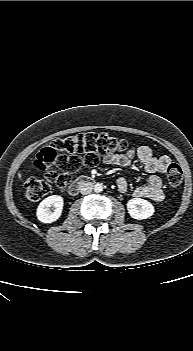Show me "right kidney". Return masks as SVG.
Instances as JSON below:
<instances>
[{"instance_id":"ca27d5eb","label":"right kidney","mask_w":193,"mask_h":351,"mask_svg":"<svg viewBox=\"0 0 193 351\" xmlns=\"http://www.w3.org/2000/svg\"><path fill=\"white\" fill-rule=\"evenodd\" d=\"M64 201L59 195H52L45 198L37 208V218L42 223H52L59 219L63 210ZM53 207L52 212L50 208Z\"/></svg>"}]
</instances>
